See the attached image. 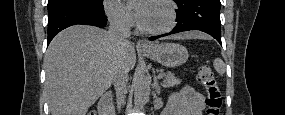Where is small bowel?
Here are the masks:
<instances>
[{
    "label": "small bowel",
    "instance_id": "small-bowel-1",
    "mask_svg": "<svg viewBox=\"0 0 285 115\" xmlns=\"http://www.w3.org/2000/svg\"><path fill=\"white\" fill-rule=\"evenodd\" d=\"M204 98L201 93L190 86L169 96L163 115H203Z\"/></svg>",
    "mask_w": 285,
    "mask_h": 115
}]
</instances>
